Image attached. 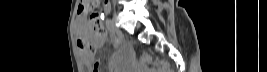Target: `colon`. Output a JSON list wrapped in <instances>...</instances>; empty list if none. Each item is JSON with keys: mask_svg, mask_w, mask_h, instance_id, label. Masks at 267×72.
Instances as JSON below:
<instances>
[{"mask_svg": "<svg viewBox=\"0 0 267 72\" xmlns=\"http://www.w3.org/2000/svg\"><path fill=\"white\" fill-rule=\"evenodd\" d=\"M102 3H107L103 0H81L80 9L83 13L88 14L90 18V26L97 33L98 37H103L105 35L104 30L100 24V5ZM84 46H89L88 42L83 43ZM97 70V65H95ZM160 72H169L167 66H162L159 70Z\"/></svg>", "mask_w": 267, "mask_h": 72, "instance_id": "colon-1", "label": "colon"}]
</instances>
